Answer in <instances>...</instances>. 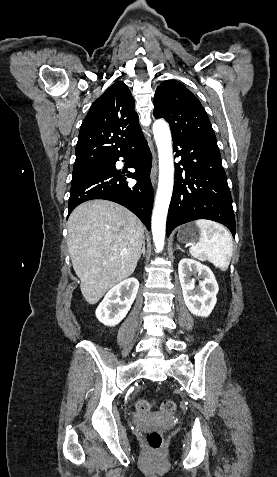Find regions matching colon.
Masks as SVG:
<instances>
[{"mask_svg":"<svg viewBox=\"0 0 277 477\" xmlns=\"http://www.w3.org/2000/svg\"><path fill=\"white\" fill-rule=\"evenodd\" d=\"M152 408V402L140 399L136 402V409L139 412H148ZM162 412L171 414L176 410V403L170 400L164 401L161 405ZM146 441L148 446L153 450H158L163 444V433L159 429H152L146 433Z\"/></svg>","mask_w":277,"mask_h":477,"instance_id":"colon-1","label":"colon"}]
</instances>
